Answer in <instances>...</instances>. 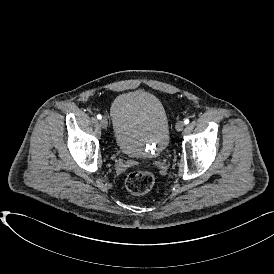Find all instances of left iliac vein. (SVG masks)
<instances>
[{
  "label": "left iliac vein",
  "mask_w": 274,
  "mask_h": 274,
  "mask_svg": "<svg viewBox=\"0 0 274 274\" xmlns=\"http://www.w3.org/2000/svg\"><path fill=\"white\" fill-rule=\"evenodd\" d=\"M185 127V123L183 121H178L175 125L177 131H182Z\"/></svg>",
  "instance_id": "4c4485c4"
}]
</instances>
